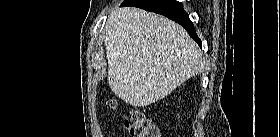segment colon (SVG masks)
<instances>
[{"label": "colon", "mask_w": 280, "mask_h": 137, "mask_svg": "<svg viewBox=\"0 0 280 137\" xmlns=\"http://www.w3.org/2000/svg\"><path fill=\"white\" fill-rule=\"evenodd\" d=\"M105 105L111 109H116L118 103L110 99ZM125 126L132 137H158L159 128L149 120L143 110L139 108L128 109L124 116Z\"/></svg>", "instance_id": "5ec220e1"}]
</instances>
